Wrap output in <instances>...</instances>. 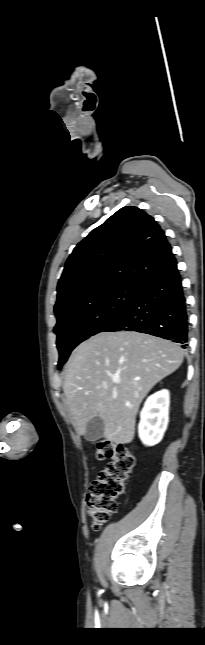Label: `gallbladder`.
I'll return each mask as SVG.
<instances>
[{
    "label": "gallbladder",
    "mask_w": 205,
    "mask_h": 645,
    "mask_svg": "<svg viewBox=\"0 0 205 645\" xmlns=\"http://www.w3.org/2000/svg\"><path fill=\"white\" fill-rule=\"evenodd\" d=\"M104 422L100 417H94L86 425L84 438L87 441H96L103 437Z\"/></svg>",
    "instance_id": "gallbladder-1"
}]
</instances>
